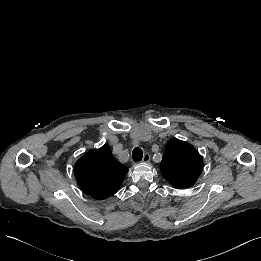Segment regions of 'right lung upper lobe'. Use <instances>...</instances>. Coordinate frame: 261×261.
Instances as JSON below:
<instances>
[{"label":"right lung upper lobe","mask_w":261,"mask_h":261,"mask_svg":"<svg viewBox=\"0 0 261 261\" xmlns=\"http://www.w3.org/2000/svg\"><path fill=\"white\" fill-rule=\"evenodd\" d=\"M128 172L104 145L82 156L75 164V178L80 188L95 199H105L119 191Z\"/></svg>","instance_id":"obj_1"}]
</instances>
